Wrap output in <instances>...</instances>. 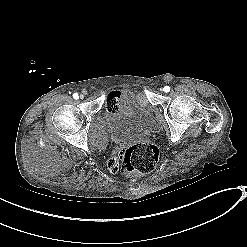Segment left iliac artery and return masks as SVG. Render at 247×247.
<instances>
[{
  "label": "left iliac artery",
  "instance_id": "obj_1",
  "mask_svg": "<svg viewBox=\"0 0 247 247\" xmlns=\"http://www.w3.org/2000/svg\"><path fill=\"white\" fill-rule=\"evenodd\" d=\"M163 90H164V92H169V91H170V87H169V86H165V87L163 88Z\"/></svg>",
  "mask_w": 247,
  "mask_h": 247
}]
</instances>
